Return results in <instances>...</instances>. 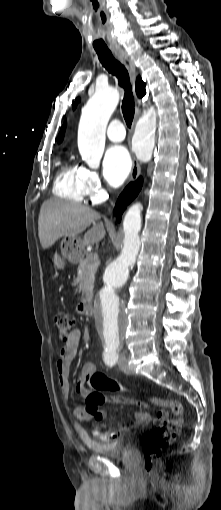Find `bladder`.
Wrapping results in <instances>:
<instances>
[{
  "label": "bladder",
  "instance_id": "bladder-1",
  "mask_svg": "<svg viewBox=\"0 0 221 510\" xmlns=\"http://www.w3.org/2000/svg\"><path fill=\"white\" fill-rule=\"evenodd\" d=\"M136 434L127 433L109 442H89L87 447L93 452L107 458H118L128 455L135 444Z\"/></svg>",
  "mask_w": 221,
  "mask_h": 510
}]
</instances>
